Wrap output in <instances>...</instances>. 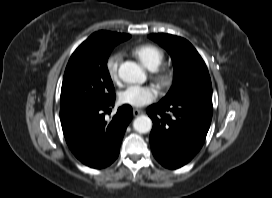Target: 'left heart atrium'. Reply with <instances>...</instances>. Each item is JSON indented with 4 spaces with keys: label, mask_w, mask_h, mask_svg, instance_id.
Listing matches in <instances>:
<instances>
[{
    "label": "left heart atrium",
    "mask_w": 272,
    "mask_h": 198,
    "mask_svg": "<svg viewBox=\"0 0 272 198\" xmlns=\"http://www.w3.org/2000/svg\"><path fill=\"white\" fill-rule=\"evenodd\" d=\"M157 97L156 90L151 86L130 85L119 93V101L135 108L152 103Z\"/></svg>",
    "instance_id": "obj_1"
}]
</instances>
